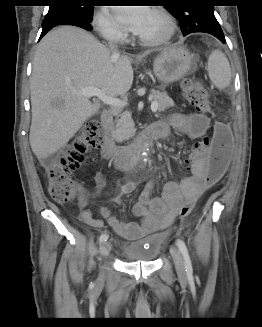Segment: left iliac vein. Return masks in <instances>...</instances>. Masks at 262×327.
Wrapping results in <instances>:
<instances>
[{
    "label": "left iliac vein",
    "instance_id": "1",
    "mask_svg": "<svg viewBox=\"0 0 262 327\" xmlns=\"http://www.w3.org/2000/svg\"><path fill=\"white\" fill-rule=\"evenodd\" d=\"M170 253L173 258L175 268H176V271H177L179 277L185 278L186 277V269H185V264H184L181 253L175 246H172L170 248Z\"/></svg>",
    "mask_w": 262,
    "mask_h": 327
}]
</instances>
